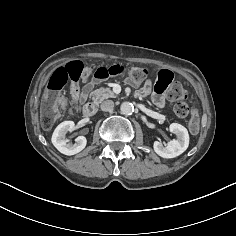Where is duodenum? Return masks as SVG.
<instances>
[{
    "mask_svg": "<svg viewBox=\"0 0 236 236\" xmlns=\"http://www.w3.org/2000/svg\"><path fill=\"white\" fill-rule=\"evenodd\" d=\"M96 113V106L94 103H87L83 108V116L85 118H92Z\"/></svg>",
    "mask_w": 236,
    "mask_h": 236,
    "instance_id": "410a0bca",
    "label": "duodenum"
}]
</instances>
